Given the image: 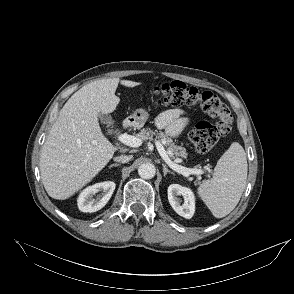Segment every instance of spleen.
Here are the masks:
<instances>
[{
  "label": "spleen",
  "mask_w": 294,
  "mask_h": 294,
  "mask_svg": "<svg viewBox=\"0 0 294 294\" xmlns=\"http://www.w3.org/2000/svg\"><path fill=\"white\" fill-rule=\"evenodd\" d=\"M246 179V153L239 143L234 142L218 160L212 179L199 186L198 194L214 217L223 218L238 204Z\"/></svg>",
  "instance_id": "spleen-1"
}]
</instances>
